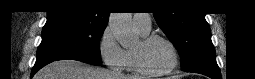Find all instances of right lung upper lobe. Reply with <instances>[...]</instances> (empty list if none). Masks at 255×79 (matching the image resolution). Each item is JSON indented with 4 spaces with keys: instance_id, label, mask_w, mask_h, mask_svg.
<instances>
[{
    "instance_id": "right-lung-upper-lobe-1",
    "label": "right lung upper lobe",
    "mask_w": 255,
    "mask_h": 79,
    "mask_svg": "<svg viewBox=\"0 0 255 79\" xmlns=\"http://www.w3.org/2000/svg\"><path fill=\"white\" fill-rule=\"evenodd\" d=\"M98 0H58L47 12V22L67 21L106 27L109 12Z\"/></svg>"
}]
</instances>
